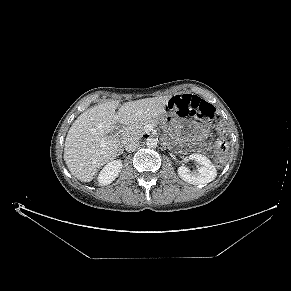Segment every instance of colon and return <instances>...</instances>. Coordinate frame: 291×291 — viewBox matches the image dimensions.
Returning a JSON list of instances; mask_svg holds the SVG:
<instances>
[{"mask_svg": "<svg viewBox=\"0 0 291 291\" xmlns=\"http://www.w3.org/2000/svg\"><path fill=\"white\" fill-rule=\"evenodd\" d=\"M168 109L181 117L197 116L210 121L218 117L216 108L199 97L175 96L169 101ZM227 150L228 144L224 139H219L215 143V164L217 167H222L225 164Z\"/></svg>", "mask_w": 291, "mask_h": 291, "instance_id": "5ec220e1", "label": "colon"}]
</instances>
